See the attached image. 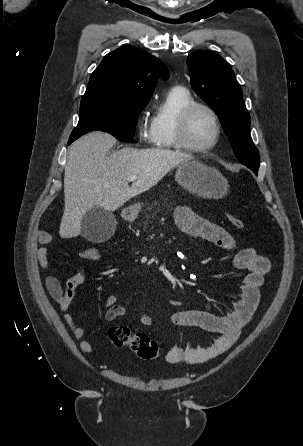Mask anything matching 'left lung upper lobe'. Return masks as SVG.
Masks as SVG:
<instances>
[{
    "mask_svg": "<svg viewBox=\"0 0 303 446\" xmlns=\"http://www.w3.org/2000/svg\"><path fill=\"white\" fill-rule=\"evenodd\" d=\"M193 90L216 112L238 160L255 174L259 152L250 136V115L242 90L228 62L212 51L201 50L187 59Z\"/></svg>",
    "mask_w": 303,
    "mask_h": 446,
    "instance_id": "5c2ea615",
    "label": "left lung upper lobe"
}]
</instances>
